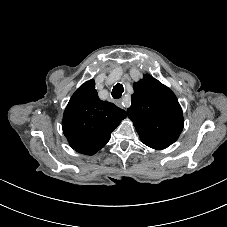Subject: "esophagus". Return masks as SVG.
Listing matches in <instances>:
<instances>
[{"label": "esophagus", "instance_id": "obj_1", "mask_svg": "<svg viewBox=\"0 0 227 227\" xmlns=\"http://www.w3.org/2000/svg\"><path fill=\"white\" fill-rule=\"evenodd\" d=\"M115 104H116L118 107L123 108V102H122V100H117V101L115 102Z\"/></svg>", "mask_w": 227, "mask_h": 227}]
</instances>
